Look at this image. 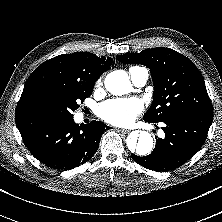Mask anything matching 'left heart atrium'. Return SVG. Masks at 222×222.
<instances>
[{
  "mask_svg": "<svg viewBox=\"0 0 222 222\" xmlns=\"http://www.w3.org/2000/svg\"><path fill=\"white\" fill-rule=\"evenodd\" d=\"M143 109L138 98L111 99L99 106V116L114 125H128L132 123Z\"/></svg>",
  "mask_w": 222,
  "mask_h": 222,
  "instance_id": "1",
  "label": "left heart atrium"
}]
</instances>
